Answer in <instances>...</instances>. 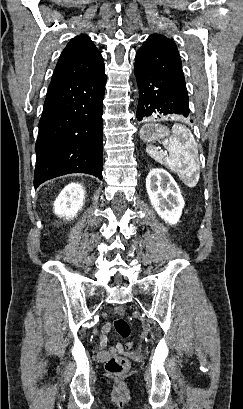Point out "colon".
Here are the masks:
<instances>
[{"label": "colon", "mask_w": 243, "mask_h": 409, "mask_svg": "<svg viewBox=\"0 0 243 409\" xmlns=\"http://www.w3.org/2000/svg\"><path fill=\"white\" fill-rule=\"evenodd\" d=\"M114 314L116 319L113 322V327L116 333L122 338H128L130 336V325L125 319V308L123 306H117L114 308ZM129 360L122 356H113L109 358L105 364L106 371L112 375H122L129 369Z\"/></svg>", "instance_id": "obj_1"}]
</instances>
